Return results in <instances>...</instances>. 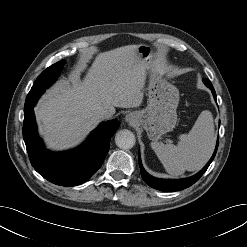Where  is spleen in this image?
Wrapping results in <instances>:
<instances>
[{
	"label": "spleen",
	"mask_w": 247,
	"mask_h": 247,
	"mask_svg": "<svg viewBox=\"0 0 247 247\" xmlns=\"http://www.w3.org/2000/svg\"><path fill=\"white\" fill-rule=\"evenodd\" d=\"M216 143L213 117L202 111L188 134L179 136L178 145L152 142L151 147L171 175L202 168L211 157Z\"/></svg>",
	"instance_id": "3e777b00"
}]
</instances>
